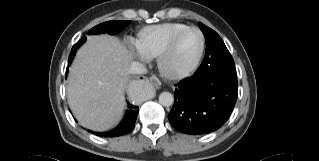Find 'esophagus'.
Returning a JSON list of instances; mask_svg holds the SVG:
<instances>
[{"label":"esophagus","instance_id":"obj_1","mask_svg":"<svg viewBox=\"0 0 319 161\" xmlns=\"http://www.w3.org/2000/svg\"><path fill=\"white\" fill-rule=\"evenodd\" d=\"M141 79H143V80H148L147 77H144V76H142ZM153 83H154V85H155L156 87L159 86V81H158V80H154Z\"/></svg>","mask_w":319,"mask_h":161}]
</instances>
